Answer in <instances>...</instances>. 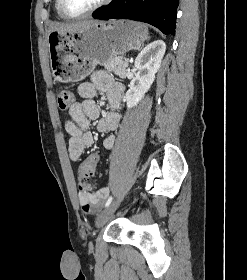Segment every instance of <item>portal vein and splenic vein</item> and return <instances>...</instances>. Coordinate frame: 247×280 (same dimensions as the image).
<instances>
[{"label": "portal vein and splenic vein", "mask_w": 247, "mask_h": 280, "mask_svg": "<svg viewBox=\"0 0 247 280\" xmlns=\"http://www.w3.org/2000/svg\"><path fill=\"white\" fill-rule=\"evenodd\" d=\"M125 62H128V59H127V58L125 59Z\"/></svg>", "instance_id": "portal-vein-and-splenic-vein-1"}]
</instances>
